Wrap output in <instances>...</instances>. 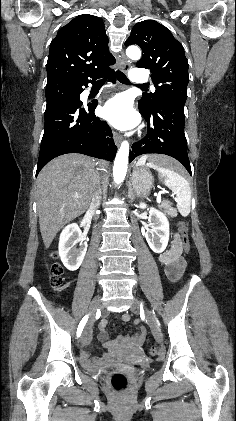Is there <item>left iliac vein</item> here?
Segmentation results:
<instances>
[{
  "label": "left iliac vein",
  "instance_id": "left-iliac-vein-1",
  "mask_svg": "<svg viewBox=\"0 0 236 421\" xmlns=\"http://www.w3.org/2000/svg\"><path fill=\"white\" fill-rule=\"evenodd\" d=\"M141 307H142V304L140 303L139 299L133 298L132 299V305H131V311L136 313V314H139L140 310H141ZM143 309L145 311V316L148 320L149 327L151 329V332H152L155 340L157 342H160L162 340V333H161V330H160V327H159L158 323L156 322L155 318L153 317V315L150 313V311L148 309H146L144 306H143Z\"/></svg>",
  "mask_w": 236,
  "mask_h": 421
}]
</instances>
